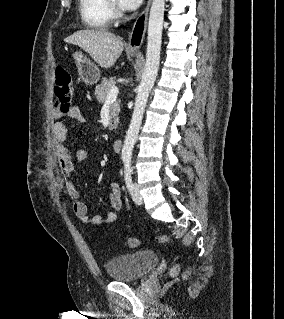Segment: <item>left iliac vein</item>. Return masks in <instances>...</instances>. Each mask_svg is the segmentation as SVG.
<instances>
[{"mask_svg": "<svg viewBox=\"0 0 284 319\" xmlns=\"http://www.w3.org/2000/svg\"><path fill=\"white\" fill-rule=\"evenodd\" d=\"M131 196H132L133 201L137 205H141L143 203V197H142V195L140 193L139 186L136 183L132 184Z\"/></svg>", "mask_w": 284, "mask_h": 319, "instance_id": "4c4485c4", "label": "left iliac vein"}]
</instances>
